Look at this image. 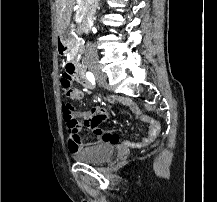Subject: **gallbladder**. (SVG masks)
Returning a JSON list of instances; mask_svg holds the SVG:
<instances>
[{
	"mask_svg": "<svg viewBox=\"0 0 217 202\" xmlns=\"http://www.w3.org/2000/svg\"><path fill=\"white\" fill-rule=\"evenodd\" d=\"M62 38H63V42H69V40H72L73 34H71V32H68V30H66V32L62 34Z\"/></svg>",
	"mask_w": 217,
	"mask_h": 202,
	"instance_id": "gallbladder-1",
	"label": "gallbladder"
}]
</instances>
